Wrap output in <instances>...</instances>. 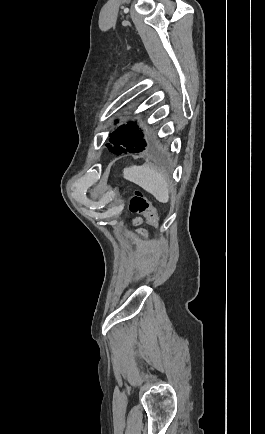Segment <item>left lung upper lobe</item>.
I'll list each match as a JSON object with an SVG mask.
<instances>
[{"label": "left lung upper lobe", "instance_id": "5c2ea615", "mask_svg": "<svg viewBox=\"0 0 265 434\" xmlns=\"http://www.w3.org/2000/svg\"><path fill=\"white\" fill-rule=\"evenodd\" d=\"M134 124V123H132ZM132 124L122 125L115 132L110 135L109 141L113 145H108V148L117 149L123 147L126 142L141 133L138 128Z\"/></svg>", "mask_w": 265, "mask_h": 434}]
</instances>
